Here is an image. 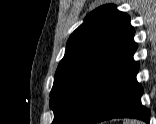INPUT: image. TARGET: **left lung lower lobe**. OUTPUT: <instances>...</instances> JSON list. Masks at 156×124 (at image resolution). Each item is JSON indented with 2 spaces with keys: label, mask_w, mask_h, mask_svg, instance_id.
<instances>
[{
  "label": "left lung lower lobe",
  "mask_w": 156,
  "mask_h": 124,
  "mask_svg": "<svg viewBox=\"0 0 156 124\" xmlns=\"http://www.w3.org/2000/svg\"><path fill=\"white\" fill-rule=\"evenodd\" d=\"M136 49L105 81L78 124H94L125 117L149 122V110L140 101L143 89L136 80L139 70V64L133 60Z\"/></svg>",
  "instance_id": "0a47b994"
}]
</instances>
